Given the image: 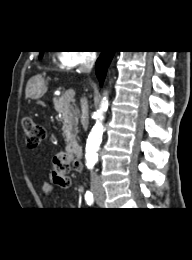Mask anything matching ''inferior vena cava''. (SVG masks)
<instances>
[{
	"label": "inferior vena cava",
	"instance_id": "602c4592",
	"mask_svg": "<svg viewBox=\"0 0 192 260\" xmlns=\"http://www.w3.org/2000/svg\"><path fill=\"white\" fill-rule=\"evenodd\" d=\"M96 60V53L94 51H91L86 57L84 62L80 66V71L84 73H89L95 63ZM81 108H82V117H81V123L86 131L88 128L89 120H88V102L85 97L81 98ZM91 185L94 189H101L102 184L99 176L97 173L92 172L91 173Z\"/></svg>",
	"mask_w": 192,
	"mask_h": 260
}]
</instances>
